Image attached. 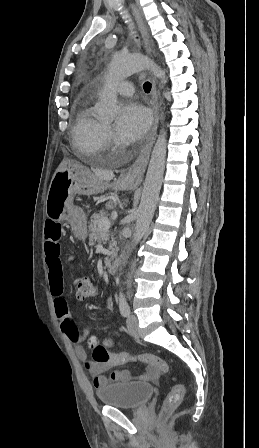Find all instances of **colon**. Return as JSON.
Returning <instances> with one entry per match:
<instances>
[{
	"label": "colon",
	"instance_id": "1",
	"mask_svg": "<svg viewBox=\"0 0 259 448\" xmlns=\"http://www.w3.org/2000/svg\"><path fill=\"white\" fill-rule=\"evenodd\" d=\"M74 286L77 298L84 300L96 296L97 287L95 283L87 276H78L74 279ZM92 348L93 360L96 363H111L112 365H119L128 362H142L155 366L163 373L170 372L169 364L161 357L153 354H137L131 355L128 353H110L108 349L100 345L95 337H91L88 341ZM184 395V387L177 380H174L170 392L163 401L160 410V422L162 423L166 417L174 411L180 404Z\"/></svg>",
	"mask_w": 259,
	"mask_h": 448
}]
</instances>
